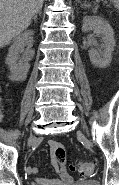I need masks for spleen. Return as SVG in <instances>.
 I'll list each match as a JSON object with an SVG mask.
<instances>
[{
  "instance_id": "obj_1",
  "label": "spleen",
  "mask_w": 119,
  "mask_h": 185,
  "mask_svg": "<svg viewBox=\"0 0 119 185\" xmlns=\"http://www.w3.org/2000/svg\"><path fill=\"white\" fill-rule=\"evenodd\" d=\"M113 2L115 3L116 7L119 9V0H113Z\"/></svg>"
}]
</instances>
